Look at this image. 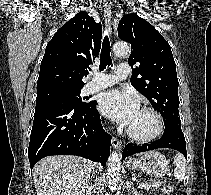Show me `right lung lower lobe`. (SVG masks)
I'll list each match as a JSON object with an SVG mask.
<instances>
[{
	"mask_svg": "<svg viewBox=\"0 0 211 195\" xmlns=\"http://www.w3.org/2000/svg\"><path fill=\"white\" fill-rule=\"evenodd\" d=\"M96 101L83 106L59 101L36 104L28 147L31 169L49 155H77L106 164L111 136L101 125Z\"/></svg>",
	"mask_w": 211,
	"mask_h": 195,
	"instance_id": "1",
	"label": "right lung lower lobe"
}]
</instances>
